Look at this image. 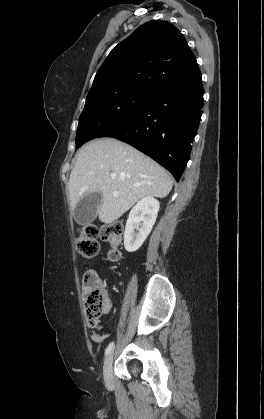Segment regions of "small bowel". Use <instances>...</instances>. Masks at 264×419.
<instances>
[{
	"mask_svg": "<svg viewBox=\"0 0 264 419\" xmlns=\"http://www.w3.org/2000/svg\"><path fill=\"white\" fill-rule=\"evenodd\" d=\"M90 271H92V272H95V273H96V270H95V269H92V270H90ZM110 307H111V304H110V301L108 300V301H107V304H106V306H105V308H104V313H105V314H108V313H109V311H110ZM107 337H108V335H107V334H103V335H100V334H97V333H93V334H91V339H92L94 342H97V343H102L103 341H105V340L107 339Z\"/></svg>",
	"mask_w": 264,
	"mask_h": 419,
	"instance_id": "obj_1",
	"label": "small bowel"
}]
</instances>
